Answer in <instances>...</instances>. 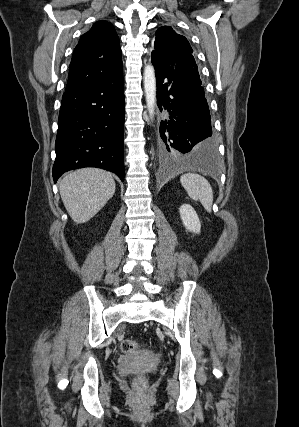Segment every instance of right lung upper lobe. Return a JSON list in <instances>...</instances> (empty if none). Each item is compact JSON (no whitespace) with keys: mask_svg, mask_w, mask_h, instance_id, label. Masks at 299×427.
<instances>
[{"mask_svg":"<svg viewBox=\"0 0 299 427\" xmlns=\"http://www.w3.org/2000/svg\"><path fill=\"white\" fill-rule=\"evenodd\" d=\"M121 70V49L114 27L107 21H98L75 47L66 91L107 80Z\"/></svg>","mask_w":299,"mask_h":427,"instance_id":"right-lung-upper-lobe-1","label":"right lung upper lobe"}]
</instances>
